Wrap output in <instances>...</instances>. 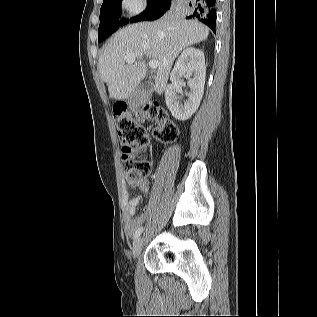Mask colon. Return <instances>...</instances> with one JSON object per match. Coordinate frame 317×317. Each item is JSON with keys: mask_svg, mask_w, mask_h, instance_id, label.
Instances as JSON below:
<instances>
[{"mask_svg": "<svg viewBox=\"0 0 317 317\" xmlns=\"http://www.w3.org/2000/svg\"><path fill=\"white\" fill-rule=\"evenodd\" d=\"M114 114L118 135L123 144L122 168L128 182L134 184L145 178L151 170L149 161L142 155L148 142V135L142 124L144 117L155 122L153 133L160 141L174 140L178 129L167 112L153 103L147 104L144 115L128 112L124 104L117 105Z\"/></svg>", "mask_w": 317, "mask_h": 317, "instance_id": "obj_1", "label": "colon"}]
</instances>
